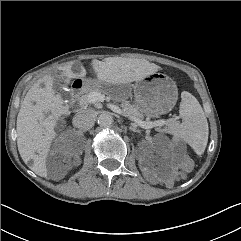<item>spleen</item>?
<instances>
[{
  "label": "spleen",
  "mask_w": 241,
  "mask_h": 241,
  "mask_svg": "<svg viewBox=\"0 0 241 241\" xmlns=\"http://www.w3.org/2000/svg\"><path fill=\"white\" fill-rule=\"evenodd\" d=\"M180 116L183 122L170 130L175 137L187 142L197 155L204 153L208 142V122L197 99L189 92L181 93Z\"/></svg>",
  "instance_id": "spleen-1"
}]
</instances>
